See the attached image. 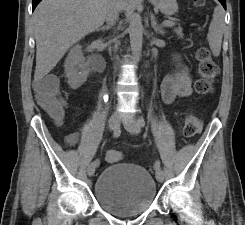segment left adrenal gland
<instances>
[{"instance_id":"left-adrenal-gland-1","label":"left adrenal gland","mask_w":245,"mask_h":225,"mask_svg":"<svg viewBox=\"0 0 245 225\" xmlns=\"http://www.w3.org/2000/svg\"><path fill=\"white\" fill-rule=\"evenodd\" d=\"M151 26L154 29L155 33L160 34V35H164L165 32L163 31L162 27H160L155 19V16L151 13Z\"/></svg>"}]
</instances>
